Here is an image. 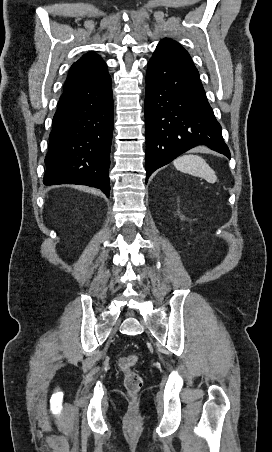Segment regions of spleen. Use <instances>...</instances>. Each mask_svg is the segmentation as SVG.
<instances>
[{"instance_id":"obj_1","label":"spleen","mask_w":272,"mask_h":452,"mask_svg":"<svg viewBox=\"0 0 272 452\" xmlns=\"http://www.w3.org/2000/svg\"><path fill=\"white\" fill-rule=\"evenodd\" d=\"M177 170L193 176L204 178L209 183H215L217 176L206 161L198 155H182L174 160Z\"/></svg>"}]
</instances>
